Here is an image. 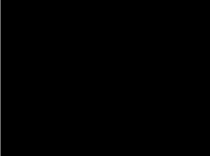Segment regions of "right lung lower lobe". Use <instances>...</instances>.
<instances>
[{
  "instance_id": "right-lung-lower-lobe-1",
  "label": "right lung lower lobe",
  "mask_w": 210,
  "mask_h": 156,
  "mask_svg": "<svg viewBox=\"0 0 210 156\" xmlns=\"http://www.w3.org/2000/svg\"><path fill=\"white\" fill-rule=\"evenodd\" d=\"M79 138V137H78ZM78 138L74 139V140H68V141H60V142H64V143H72L75 142Z\"/></svg>"
}]
</instances>
